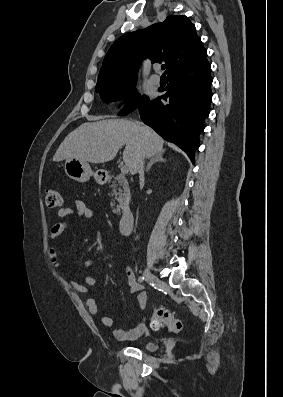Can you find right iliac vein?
I'll list each match as a JSON object with an SVG mask.
<instances>
[{
	"mask_svg": "<svg viewBox=\"0 0 283 397\" xmlns=\"http://www.w3.org/2000/svg\"><path fill=\"white\" fill-rule=\"evenodd\" d=\"M144 276H145V279H146L147 282H151L154 279L151 271L148 268H145Z\"/></svg>",
	"mask_w": 283,
	"mask_h": 397,
	"instance_id": "1",
	"label": "right iliac vein"
}]
</instances>
